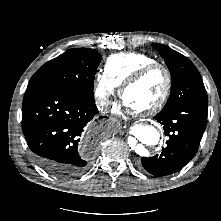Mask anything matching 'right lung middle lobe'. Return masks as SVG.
<instances>
[{"mask_svg": "<svg viewBox=\"0 0 221 221\" xmlns=\"http://www.w3.org/2000/svg\"><path fill=\"white\" fill-rule=\"evenodd\" d=\"M101 54L89 48L69 49L45 63L30 79L28 86L44 84L94 101L93 84Z\"/></svg>", "mask_w": 221, "mask_h": 221, "instance_id": "obj_1", "label": "right lung middle lobe"}]
</instances>
